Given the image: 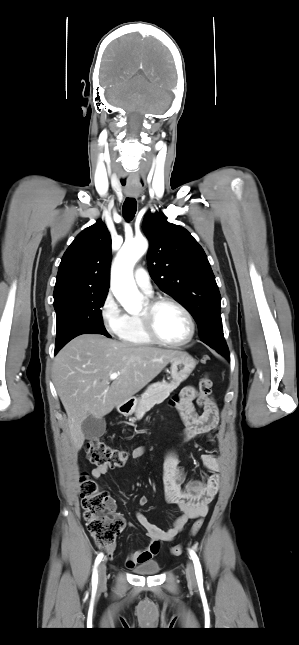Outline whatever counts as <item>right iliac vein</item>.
<instances>
[{"mask_svg":"<svg viewBox=\"0 0 299 645\" xmlns=\"http://www.w3.org/2000/svg\"><path fill=\"white\" fill-rule=\"evenodd\" d=\"M98 578H99V586L103 587L106 584L107 577H106V564L105 562H101L98 568Z\"/></svg>","mask_w":299,"mask_h":645,"instance_id":"63e3f726","label":"right iliac vein"}]
</instances>
